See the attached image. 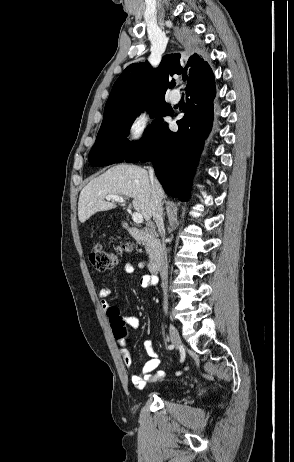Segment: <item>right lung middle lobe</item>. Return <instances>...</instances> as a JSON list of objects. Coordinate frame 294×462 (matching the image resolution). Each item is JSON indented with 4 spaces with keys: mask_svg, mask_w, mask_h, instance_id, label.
I'll use <instances>...</instances> for the list:
<instances>
[{
    "mask_svg": "<svg viewBox=\"0 0 294 462\" xmlns=\"http://www.w3.org/2000/svg\"><path fill=\"white\" fill-rule=\"evenodd\" d=\"M183 36L193 45L200 44L189 32H183ZM143 110H149L150 116L156 119L145 136L132 143L127 139V135L133 121ZM168 112L169 105L164 99H149L122 113L104 118L89 154V162L94 166H105L124 161L156 132L163 123L162 117L168 115Z\"/></svg>",
    "mask_w": 294,
    "mask_h": 462,
    "instance_id": "right-lung-middle-lobe-1",
    "label": "right lung middle lobe"
}]
</instances>
